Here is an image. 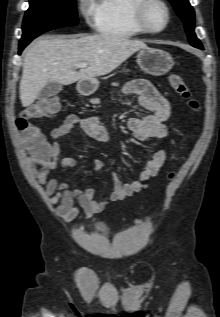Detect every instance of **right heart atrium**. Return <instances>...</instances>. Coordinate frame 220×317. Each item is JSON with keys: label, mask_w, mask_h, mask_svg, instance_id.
I'll use <instances>...</instances> for the list:
<instances>
[{"label": "right heart atrium", "mask_w": 220, "mask_h": 317, "mask_svg": "<svg viewBox=\"0 0 220 317\" xmlns=\"http://www.w3.org/2000/svg\"><path fill=\"white\" fill-rule=\"evenodd\" d=\"M77 9L88 24L95 23L93 0H77Z\"/></svg>", "instance_id": "right-heart-atrium-1"}]
</instances>
